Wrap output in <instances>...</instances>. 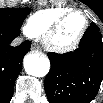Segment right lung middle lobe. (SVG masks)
I'll list each match as a JSON object with an SVG mask.
<instances>
[{"instance_id": "1", "label": "right lung middle lobe", "mask_w": 103, "mask_h": 103, "mask_svg": "<svg viewBox=\"0 0 103 103\" xmlns=\"http://www.w3.org/2000/svg\"><path fill=\"white\" fill-rule=\"evenodd\" d=\"M30 11V8H1L0 27L20 31L22 23Z\"/></svg>"}]
</instances>
